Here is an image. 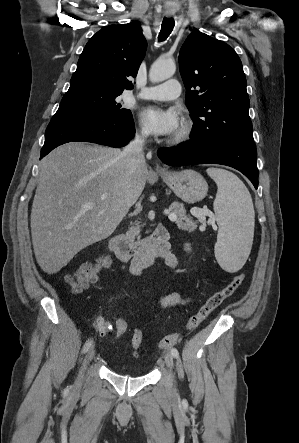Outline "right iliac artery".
<instances>
[{"label": "right iliac artery", "mask_w": 299, "mask_h": 443, "mask_svg": "<svg viewBox=\"0 0 299 443\" xmlns=\"http://www.w3.org/2000/svg\"><path fill=\"white\" fill-rule=\"evenodd\" d=\"M92 346V341L88 340L83 346V353L87 352Z\"/></svg>", "instance_id": "82829eb1"}]
</instances>
